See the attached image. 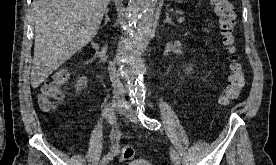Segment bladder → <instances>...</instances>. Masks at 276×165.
I'll use <instances>...</instances> for the list:
<instances>
[{"mask_svg": "<svg viewBox=\"0 0 276 165\" xmlns=\"http://www.w3.org/2000/svg\"><path fill=\"white\" fill-rule=\"evenodd\" d=\"M127 165H152V164L145 160L137 159L129 162Z\"/></svg>", "mask_w": 276, "mask_h": 165, "instance_id": "obj_1", "label": "bladder"}]
</instances>
